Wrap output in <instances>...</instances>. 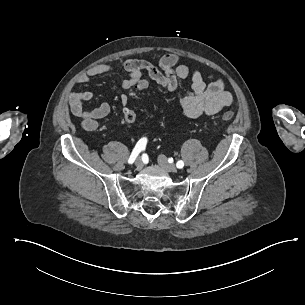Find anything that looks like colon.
I'll use <instances>...</instances> for the list:
<instances>
[{
	"mask_svg": "<svg viewBox=\"0 0 305 305\" xmlns=\"http://www.w3.org/2000/svg\"><path fill=\"white\" fill-rule=\"evenodd\" d=\"M148 87V82L146 80H141L137 86H133L131 88V93L133 95H138L140 91H144ZM234 116V113L232 111H226L222 113L221 117L223 120H229ZM137 115L134 111H128L124 115V121L126 123H134L136 121Z\"/></svg>",
	"mask_w": 305,
	"mask_h": 305,
	"instance_id": "obj_1",
	"label": "colon"
}]
</instances>
